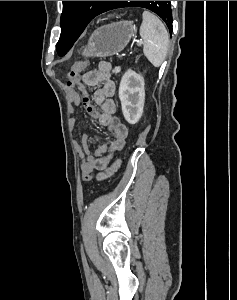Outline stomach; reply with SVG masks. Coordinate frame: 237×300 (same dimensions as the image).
<instances>
[{
    "label": "stomach",
    "mask_w": 237,
    "mask_h": 300,
    "mask_svg": "<svg viewBox=\"0 0 237 300\" xmlns=\"http://www.w3.org/2000/svg\"><path fill=\"white\" fill-rule=\"evenodd\" d=\"M134 35L133 21H119L111 25H103L89 37L85 47H82V57H111L125 49Z\"/></svg>",
    "instance_id": "stomach-1"
}]
</instances>
